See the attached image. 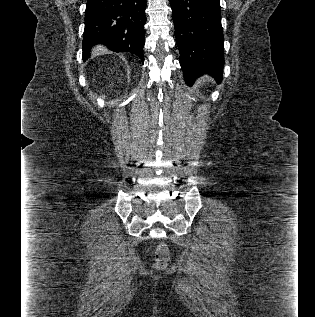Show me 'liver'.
<instances>
[{
  "mask_svg": "<svg viewBox=\"0 0 315 317\" xmlns=\"http://www.w3.org/2000/svg\"><path fill=\"white\" fill-rule=\"evenodd\" d=\"M103 52H105V49H104L103 47H101V46H98V47H96V48L93 50V53H94V54H100V53H103Z\"/></svg>",
  "mask_w": 315,
  "mask_h": 317,
  "instance_id": "obj_1",
  "label": "liver"
}]
</instances>
